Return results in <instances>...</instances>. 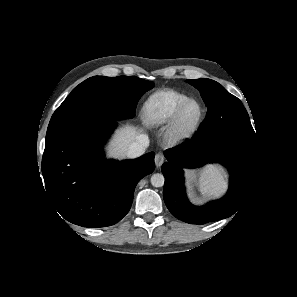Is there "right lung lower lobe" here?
I'll use <instances>...</instances> for the list:
<instances>
[{
	"instance_id": "1",
	"label": "right lung lower lobe",
	"mask_w": 297,
	"mask_h": 297,
	"mask_svg": "<svg viewBox=\"0 0 297 297\" xmlns=\"http://www.w3.org/2000/svg\"><path fill=\"white\" fill-rule=\"evenodd\" d=\"M116 124H92L45 146L46 192L60 214L74 224L117 223L128 213L137 183L154 171L153 152L121 162L104 158L102 145Z\"/></svg>"
}]
</instances>
